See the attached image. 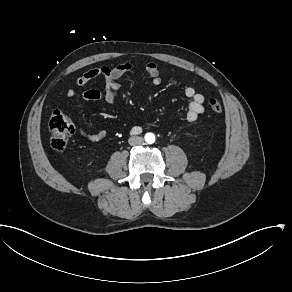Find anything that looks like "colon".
I'll return each mask as SVG.
<instances>
[{"instance_id":"1","label":"colon","mask_w":292,"mask_h":292,"mask_svg":"<svg viewBox=\"0 0 292 292\" xmlns=\"http://www.w3.org/2000/svg\"><path fill=\"white\" fill-rule=\"evenodd\" d=\"M207 107L215 114L222 112V105L215 97H209ZM50 145L54 151L60 152L65 149L69 138L74 132V126L65 113L54 110L49 120Z\"/></svg>"}]
</instances>
